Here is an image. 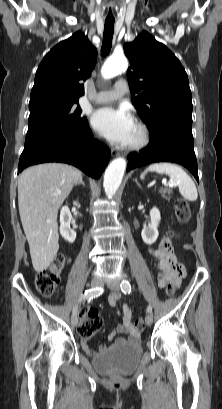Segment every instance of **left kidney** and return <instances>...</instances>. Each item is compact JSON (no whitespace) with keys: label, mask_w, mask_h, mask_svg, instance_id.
<instances>
[{"label":"left kidney","mask_w":222,"mask_h":409,"mask_svg":"<svg viewBox=\"0 0 222 409\" xmlns=\"http://www.w3.org/2000/svg\"><path fill=\"white\" fill-rule=\"evenodd\" d=\"M151 223L148 226H144L141 232L143 241L146 244H153L158 238V225L161 220L160 211L158 208L153 207L150 211Z\"/></svg>","instance_id":"left-kidney-1"}]
</instances>
